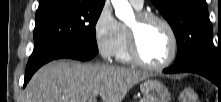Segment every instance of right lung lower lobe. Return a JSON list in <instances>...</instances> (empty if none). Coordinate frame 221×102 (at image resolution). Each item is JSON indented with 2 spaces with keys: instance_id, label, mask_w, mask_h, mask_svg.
<instances>
[{
  "instance_id": "1",
  "label": "right lung lower lobe",
  "mask_w": 221,
  "mask_h": 102,
  "mask_svg": "<svg viewBox=\"0 0 221 102\" xmlns=\"http://www.w3.org/2000/svg\"><path fill=\"white\" fill-rule=\"evenodd\" d=\"M95 55L96 53L80 47L61 48L53 53L48 54L44 58L37 61L35 64L26 67V74H25L23 87L26 86L27 82L30 80V78L38 68H40L42 65H44L45 63L51 60L60 59V58H70V59L86 61L92 59Z\"/></svg>"
}]
</instances>
